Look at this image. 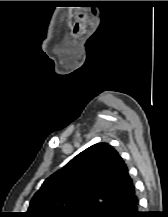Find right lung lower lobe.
<instances>
[{
  "instance_id": "1",
  "label": "right lung lower lobe",
  "mask_w": 168,
  "mask_h": 217,
  "mask_svg": "<svg viewBox=\"0 0 168 217\" xmlns=\"http://www.w3.org/2000/svg\"><path fill=\"white\" fill-rule=\"evenodd\" d=\"M98 217H143L138 211V198L133 194L129 198L110 206Z\"/></svg>"
}]
</instances>
